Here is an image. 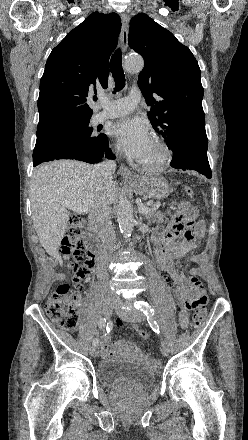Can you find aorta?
Segmentation results:
<instances>
[{"label":"aorta","mask_w":248,"mask_h":440,"mask_svg":"<svg viewBox=\"0 0 248 440\" xmlns=\"http://www.w3.org/2000/svg\"><path fill=\"white\" fill-rule=\"evenodd\" d=\"M143 67V59L138 56H129L124 62V68L128 73H138ZM117 220L123 237L129 238L134 228L135 219L133 206L129 199L123 195L117 205Z\"/></svg>","instance_id":"obj_1"}]
</instances>
